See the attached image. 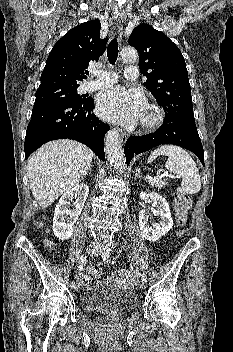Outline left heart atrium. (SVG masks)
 <instances>
[{
  "instance_id": "left-heart-atrium-1",
  "label": "left heart atrium",
  "mask_w": 233,
  "mask_h": 352,
  "mask_svg": "<svg viewBox=\"0 0 233 352\" xmlns=\"http://www.w3.org/2000/svg\"><path fill=\"white\" fill-rule=\"evenodd\" d=\"M97 108L101 117L130 125L143 114L145 100L138 90L115 86L99 94Z\"/></svg>"
}]
</instances>
